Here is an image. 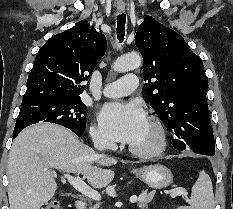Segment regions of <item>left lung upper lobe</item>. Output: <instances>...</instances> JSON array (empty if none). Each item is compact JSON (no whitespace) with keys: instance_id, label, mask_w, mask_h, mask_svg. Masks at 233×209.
Here are the masks:
<instances>
[{"instance_id":"left-lung-upper-lobe-1","label":"left lung upper lobe","mask_w":233,"mask_h":209,"mask_svg":"<svg viewBox=\"0 0 233 209\" xmlns=\"http://www.w3.org/2000/svg\"><path fill=\"white\" fill-rule=\"evenodd\" d=\"M135 44L144 63L148 100L175 144L213 156L215 143L208 113V82L201 59L183 37L146 16Z\"/></svg>"}]
</instances>
